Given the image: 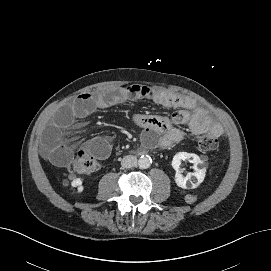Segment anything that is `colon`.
Here are the masks:
<instances>
[{
    "mask_svg": "<svg viewBox=\"0 0 271 271\" xmlns=\"http://www.w3.org/2000/svg\"><path fill=\"white\" fill-rule=\"evenodd\" d=\"M219 145L216 137L207 135L199 140V148L204 151L215 150ZM71 173L77 174H90L99 169L97 159L88 151H79L68 167Z\"/></svg>",
    "mask_w": 271,
    "mask_h": 271,
    "instance_id": "1",
    "label": "colon"
}]
</instances>
